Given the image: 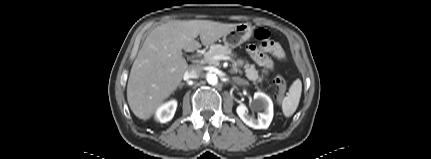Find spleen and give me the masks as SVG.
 I'll list each match as a JSON object with an SVG mask.
<instances>
[{
    "label": "spleen",
    "instance_id": "spleen-1",
    "mask_svg": "<svg viewBox=\"0 0 431 159\" xmlns=\"http://www.w3.org/2000/svg\"><path fill=\"white\" fill-rule=\"evenodd\" d=\"M302 92V83L299 79L294 81L291 85L289 92L282 101V111L286 117H290L296 111Z\"/></svg>",
    "mask_w": 431,
    "mask_h": 159
}]
</instances>
